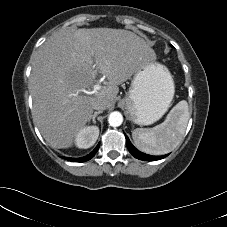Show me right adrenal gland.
<instances>
[{
  "instance_id": "2a0ac1e0",
  "label": "right adrenal gland",
  "mask_w": 227,
  "mask_h": 227,
  "mask_svg": "<svg viewBox=\"0 0 227 227\" xmlns=\"http://www.w3.org/2000/svg\"><path fill=\"white\" fill-rule=\"evenodd\" d=\"M100 113H102V111H98V112H95L93 115H92V122H93V124H95L96 123V117H97V115H99Z\"/></svg>"
}]
</instances>
